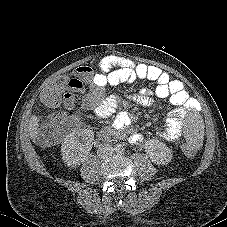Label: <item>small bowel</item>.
I'll use <instances>...</instances> for the list:
<instances>
[{"label": "small bowel", "mask_w": 227, "mask_h": 227, "mask_svg": "<svg viewBox=\"0 0 227 227\" xmlns=\"http://www.w3.org/2000/svg\"><path fill=\"white\" fill-rule=\"evenodd\" d=\"M77 77L65 78L67 88L64 92V105L74 107L77 103V93H83L86 88L89 93L81 100V107L85 110H92L97 120H104L114 111L116 101L111 98H103L102 94L108 86H116L122 83H132L138 79H147L156 83L154 89L144 88L136 96L135 101L143 107L156 105L155 97L168 99L169 103L176 107L167 118L166 130L162 138L166 141H176L182 135L183 121L185 117V105L196 109L195 104L190 100L184 85L180 80L173 79L164 70L154 65L144 63L137 64L127 58L119 56H106L99 62V72L94 74L88 66H80L76 69ZM61 117L69 122L77 120L73 113H67ZM131 118L127 115H120L116 118L113 131L116 135H123ZM131 144H140L144 141L141 132L128 134Z\"/></svg>", "instance_id": "obj_1"}]
</instances>
